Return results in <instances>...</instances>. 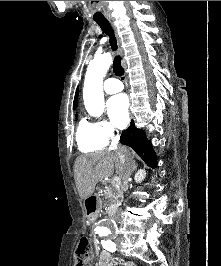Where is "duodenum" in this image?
Wrapping results in <instances>:
<instances>
[{
  "label": "duodenum",
  "mask_w": 221,
  "mask_h": 266,
  "mask_svg": "<svg viewBox=\"0 0 221 266\" xmlns=\"http://www.w3.org/2000/svg\"><path fill=\"white\" fill-rule=\"evenodd\" d=\"M101 191H92V194H88L85 200L86 210L90 219H97V214L101 210ZM114 211H107V216H113Z\"/></svg>",
  "instance_id": "obj_1"
}]
</instances>
